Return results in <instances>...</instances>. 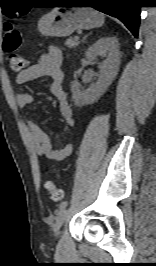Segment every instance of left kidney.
<instances>
[{
	"label": "left kidney",
	"mask_w": 156,
	"mask_h": 266,
	"mask_svg": "<svg viewBox=\"0 0 156 266\" xmlns=\"http://www.w3.org/2000/svg\"><path fill=\"white\" fill-rule=\"evenodd\" d=\"M85 55L89 61L97 60L98 56L105 58V60L99 64L98 81L87 90L81 92L77 81L71 83L72 98L78 107L97 101L113 82L120 65L118 39L110 36L102 37L88 48Z\"/></svg>",
	"instance_id": "obj_1"
}]
</instances>
